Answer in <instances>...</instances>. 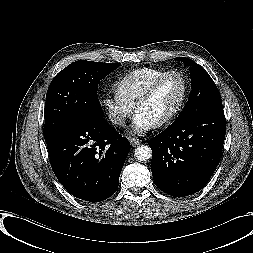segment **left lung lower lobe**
Listing matches in <instances>:
<instances>
[{
  "instance_id": "left-lung-lower-lobe-1",
  "label": "left lung lower lobe",
  "mask_w": 253,
  "mask_h": 253,
  "mask_svg": "<svg viewBox=\"0 0 253 253\" xmlns=\"http://www.w3.org/2000/svg\"><path fill=\"white\" fill-rule=\"evenodd\" d=\"M225 133L224 111L219 106L173 123L151 138L155 185L175 197L200 191L218 165Z\"/></svg>"
}]
</instances>
